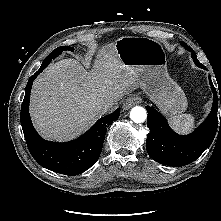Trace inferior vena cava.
<instances>
[{"label":"inferior vena cava","instance_id":"602c4592","mask_svg":"<svg viewBox=\"0 0 221 221\" xmlns=\"http://www.w3.org/2000/svg\"><path fill=\"white\" fill-rule=\"evenodd\" d=\"M118 100L109 99L103 101L101 104V108L103 109L104 113L112 112L118 107Z\"/></svg>","mask_w":221,"mask_h":221}]
</instances>
